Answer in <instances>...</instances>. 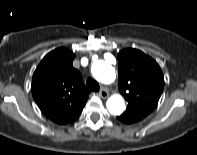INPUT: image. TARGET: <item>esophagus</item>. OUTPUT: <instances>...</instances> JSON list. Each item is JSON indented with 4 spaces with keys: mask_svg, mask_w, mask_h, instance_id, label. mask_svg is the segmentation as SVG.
I'll return each instance as SVG.
<instances>
[{
    "mask_svg": "<svg viewBox=\"0 0 197 155\" xmlns=\"http://www.w3.org/2000/svg\"><path fill=\"white\" fill-rule=\"evenodd\" d=\"M99 96L104 99L107 98L109 96L108 91L105 88H101L99 91Z\"/></svg>",
    "mask_w": 197,
    "mask_h": 155,
    "instance_id": "1",
    "label": "esophagus"
}]
</instances>
